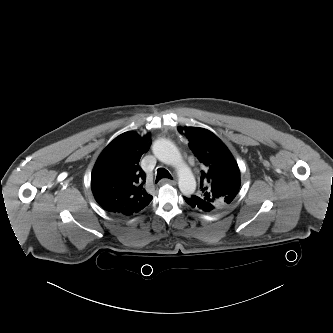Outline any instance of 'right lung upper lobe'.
<instances>
[{"mask_svg":"<svg viewBox=\"0 0 333 333\" xmlns=\"http://www.w3.org/2000/svg\"><path fill=\"white\" fill-rule=\"evenodd\" d=\"M150 145V133L141 137L125 132L101 153L92 171L91 188L104 210L130 216L151 202L152 196L145 189L146 174L139 166Z\"/></svg>","mask_w":333,"mask_h":333,"instance_id":"obj_1","label":"right lung upper lobe"}]
</instances>
